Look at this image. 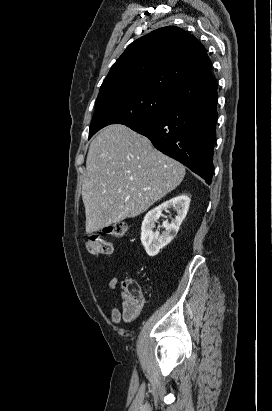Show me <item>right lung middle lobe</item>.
<instances>
[{
    "instance_id": "obj_1",
    "label": "right lung middle lobe",
    "mask_w": 272,
    "mask_h": 411,
    "mask_svg": "<svg viewBox=\"0 0 272 411\" xmlns=\"http://www.w3.org/2000/svg\"><path fill=\"white\" fill-rule=\"evenodd\" d=\"M179 104L168 94L147 88L109 91L99 94L89 138L109 124L131 125L163 113Z\"/></svg>"
}]
</instances>
